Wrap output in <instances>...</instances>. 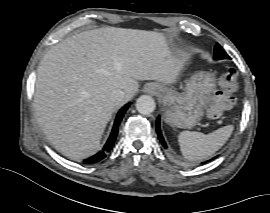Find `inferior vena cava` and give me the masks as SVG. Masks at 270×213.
<instances>
[{
  "label": "inferior vena cava",
  "instance_id": "1",
  "mask_svg": "<svg viewBox=\"0 0 270 213\" xmlns=\"http://www.w3.org/2000/svg\"><path fill=\"white\" fill-rule=\"evenodd\" d=\"M125 96H126L125 92L120 89H114L110 93V99L114 102H119V103L124 102Z\"/></svg>",
  "mask_w": 270,
  "mask_h": 213
}]
</instances>
